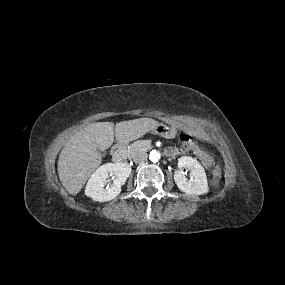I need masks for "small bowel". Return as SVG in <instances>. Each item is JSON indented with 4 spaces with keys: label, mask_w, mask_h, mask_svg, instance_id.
<instances>
[{
    "label": "small bowel",
    "mask_w": 285,
    "mask_h": 285,
    "mask_svg": "<svg viewBox=\"0 0 285 285\" xmlns=\"http://www.w3.org/2000/svg\"><path fill=\"white\" fill-rule=\"evenodd\" d=\"M184 148L186 150H191L205 167L210 168L213 165V157L205 150L197 146L194 148H189L186 145H184ZM170 150L174 151L175 156L180 153V149L177 147H169L166 149V151H170Z\"/></svg>",
    "instance_id": "c3829d8e"
}]
</instances>
